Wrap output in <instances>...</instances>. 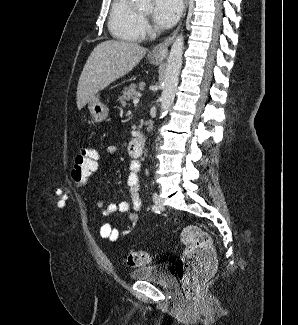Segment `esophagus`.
Segmentation results:
<instances>
[{"mask_svg": "<svg viewBox=\"0 0 298 325\" xmlns=\"http://www.w3.org/2000/svg\"><path fill=\"white\" fill-rule=\"evenodd\" d=\"M184 3H185V11H184V16H185L186 8L188 5V0H184ZM181 24H182V22H180L177 29L173 33H171V35H169L163 42L158 43V45H156L155 47L152 48V50L150 52L151 58L163 60L166 57H168L169 46L171 45L172 41L174 40L175 36L177 35V32L179 31Z\"/></svg>", "mask_w": 298, "mask_h": 325, "instance_id": "obj_1", "label": "esophagus"}]
</instances>
